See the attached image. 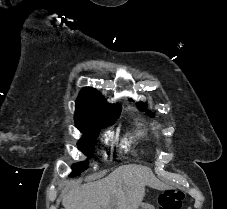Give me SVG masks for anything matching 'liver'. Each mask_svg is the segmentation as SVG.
I'll return each instance as SVG.
<instances>
[{"mask_svg": "<svg viewBox=\"0 0 227 209\" xmlns=\"http://www.w3.org/2000/svg\"><path fill=\"white\" fill-rule=\"evenodd\" d=\"M155 179L151 169L122 165L101 181L71 189L62 199L64 209H138L144 183Z\"/></svg>", "mask_w": 227, "mask_h": 209, "instance_id": "liver-1", "label": "liver"}]
</instances>
